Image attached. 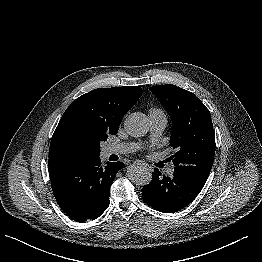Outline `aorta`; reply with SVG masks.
Here are the masks:
<instances>
[{"mask_svg":"<svg viewBox=\"0 0 262 262\" xmlns=\"http://www.w3.org/2000/svg\"><path fill=\"white\" fill-rule=\"evenodd\" d=\"M125 131L132 137H142L148 132V119L145 114L135 112L124 121ZM127 177L137 185L144 186L151 182V172L142 165H131L127 168Z\"/></svg>","mask_w":262,"mask_h":262,"instance_id":"762f6f07","label":"aorta"}]
</instances>
